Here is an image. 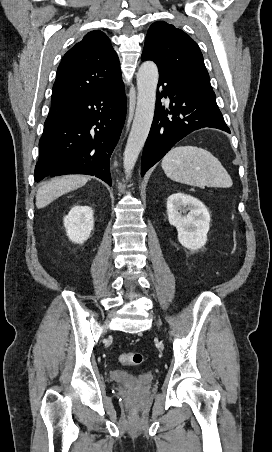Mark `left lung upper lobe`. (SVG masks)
Segmentation results:
<instances>
[{
    "label": "left lung upper lobe",
    "instance_id": "left-lung-upper-lobe-1",
    "mask_svg": "<svg viewBox=\"0 0 272 452\" xmlns=\"http://www.w3.org/2000/svg\"><path fill=\"white\" fill-rule=\"evenodd\" d=\"M141 59L154 61L159 73H173L212 89L198 45L171 24L159 21L150 26Z\"/></svg>",
    "mask_w": 272,
    "mask_h": 452
}]
</instances>
